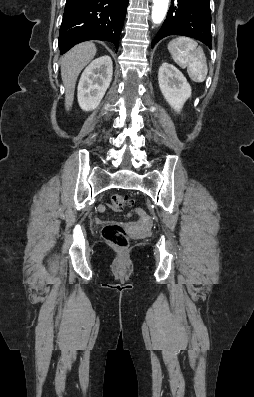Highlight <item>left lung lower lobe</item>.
<instances>
[{
    "label": "left lung lower lobe",
    "mask_w": 254,
    "mask_h": 397,
    "mask_svg": "<svg viewBox=\"0 0 254 397\" xmlns=\"http://www.w3.org/2000/svg\"><path fill=\"white\" fill-rule=\"evenodd\" d=\"M211 10L209 0H171L167 17L152 41L177 34L195 38L211 48Z\"/></svg>",
    "instance_id": "0a47b994"
}]
</instances>
